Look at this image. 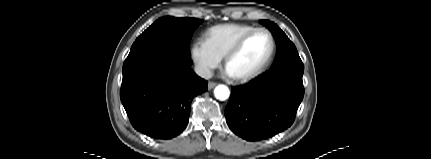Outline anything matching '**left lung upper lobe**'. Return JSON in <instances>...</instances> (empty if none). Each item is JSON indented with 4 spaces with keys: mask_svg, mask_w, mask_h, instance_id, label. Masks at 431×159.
<instances>
[{
    "mask_svg": "<svg viewBox=\"0 0 431 159\" xmlns=\"http://www.w3.org/2000/svg\"><path fill=\"white\" fill-rule=\"evenodd\" d=\"M260 23L272 32L278 46L276 57L271 68L282 65L303 66L295 45L290 41L286 34L271 21L260 20Z\"/></svg>",
    "mask_w": 431,
    "mask_h": 159,
    "instance_id": "left-lung-upper-lobe-1",
    "label": "left lung upper lobe"
}]
</instances>
